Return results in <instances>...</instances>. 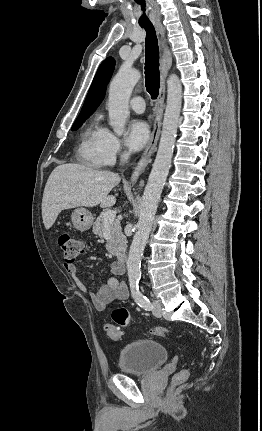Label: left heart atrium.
Instances as JSON below:
<instances>
[{"mask_svg": "<svg viewBox=\"0 0 262 431\" xmlns=\"http://www.w3.org/2000/svg\"><path fill=\"white\" fill-rule=\"evenodd\" d=\"M148 138L149 128L145 122L141 120L130 122L126 134V144L131 151L141 150Z\"/></svg>", "mask_w": 262, "mask_h": 431, "instance_id": "left-heart-atrium-1", "label": "left heart atrium"}]
</instances>
